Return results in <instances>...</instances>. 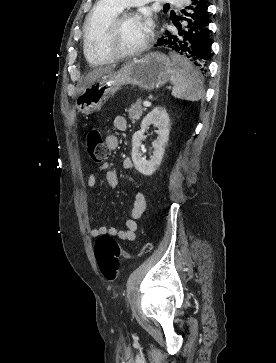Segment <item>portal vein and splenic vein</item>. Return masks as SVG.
<instances>
[{"mask_svg":"<svg viewBox=\"0 0 276 363\" xmlns=\"http://www.w3.org/2000/svg\"><path fill=\"white\" fill-rule=\"evenodd\" d=\"M143 106L149 107V106H151V103L149 101H145V102H143Z\"/></svg>","mask_w":276,"mask_h":363,"instance_id":"18ae733b","label":"portal vein and splenic vein"}]
</instances>
